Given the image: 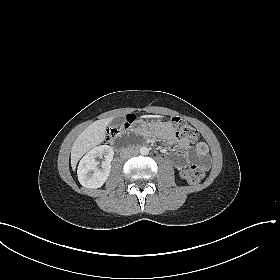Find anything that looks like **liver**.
<instances>
[{
    "instance_id": "6515ba94",
    "label": "liver",
    "mask_w": 280,
    "mask_h": 280,
    "mask_svg": "<svg viewBox=\"0 0 280 280\" xmlns=\"http://www.w3.org/2000/svg\"><path fill=\"white\" fill-rule=\"evenodd\" d=\"M113 119L114 117H109L93 122L76 138L71 148V166L73 170H75L79 159L87 151L103 142L106 127Z\"/></svg>"
}]
</instances>
